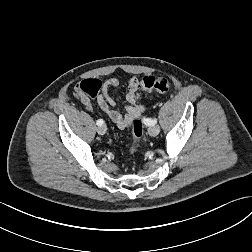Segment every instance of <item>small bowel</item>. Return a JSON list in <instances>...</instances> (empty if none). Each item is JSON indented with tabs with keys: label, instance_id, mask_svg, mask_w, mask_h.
<instances>
[{
	"label": "small bowel",
	"instance_id": "c3829d8e",
	"mask_svg": "<svg viewBox=\"0 0 252 252\" xmlns=\"http://www.w3.org/2000/svg\"><path fill=\"white\" fill-rule=\"evenodd\" d=\"M118 86L119 80L116 78H111L105 81L102 85L101 93L97 97V103L108 119L119 129L123 130L131 126L132 121L139 118L144 111V106L139 102L140 91L142 88L140 87L138 78H130L128 83V93L126 95L128 104L125 107V113L122 114L115 108L116 103L109 94L111 89ZM74 96L81 100L86 109H92V104L89 98L81 91L79 84H77L74 89Z\"/></svg>",
	"mask_w": 252,
	"mask_h": 252
}]
</instances>
